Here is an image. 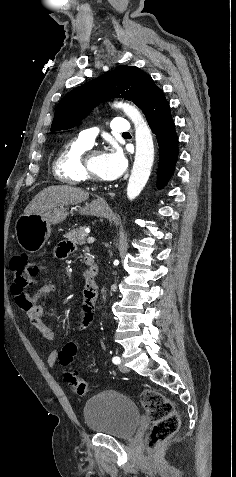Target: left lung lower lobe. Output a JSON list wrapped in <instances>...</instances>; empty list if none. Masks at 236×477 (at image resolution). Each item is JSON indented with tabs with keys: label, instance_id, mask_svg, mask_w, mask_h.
<instances>
[{
	"label": "left lung lower lobe",
	"instance_id": "left-lung-lower-lobe-1",
	"mask_svg": "<svg viewBox=\"0 0 236 477\" xmlns=\"http://www.w3.org/2000/svg\"><path fill=\"white\" fill-rule=\"evenodd\" d=\"M147 122L156 135L159 146V164L157 169V187L162 188L174 172L178 158V137L174 121L170 115L169 104L159 89L145 113Z\"/></svg>",
	"mask_w": 236,
	"mask_h": 477
}]
</instances>
